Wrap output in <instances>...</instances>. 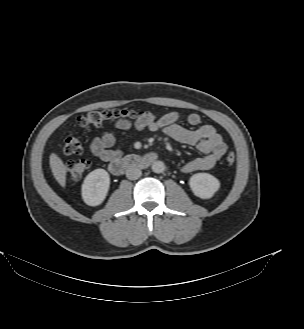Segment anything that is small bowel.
Returning <instances> with one entry per match:
<instances>
[{"label":"small bowel","instance_id":"obj_1","mask_svg":"<svg viewBox=\"0 0 304 329\" xmlns=\"http://www.w3.org/2000/svg\"><path fill=\"white\" fill-rule=\"evenodd\" d=\"M183 118L187 124L190 126H196V128L189 129L181 126L179 122ZM113 125L120 130H128L131 128L138 131L144 129H149L151 131L161 130L166 136L181 144L196 147L203 156L186 162L182 167L184 173H192L213 168L227 150V144L222 136L212 125L201 124V116L198 113H190L183 117L178 111H170L155 116L152 122L146 124H132L128 121H120ZM115 143L116 138L114 132L106 130L103 131L98 138L92 140L90 150L93 155L101 161L110 162L118 159L122 155L121 150L114 147Z\"/></svg>","mask_w":304,"mask_h":329}]
</instances>
